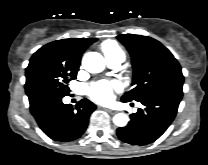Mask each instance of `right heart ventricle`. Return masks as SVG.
I'll use <instances>...</instances> for the list:
<instances>
[{"label": "right heart ventricle", "instance_id": "obj_1", "mask_svg": "<svg viewBox=\"0 0 208 165\" xmlns=\"http://www.w3.org/2000/svg\"><path fill=\"white\" fill-rule=\"evenodd\" d=\"M103 52L106 58L117 56L124 60V51L119 47V45L114 41H106L102 45Z\"/></svg>", "mask_w": 208, "mask_h": 165}]
</instances>
